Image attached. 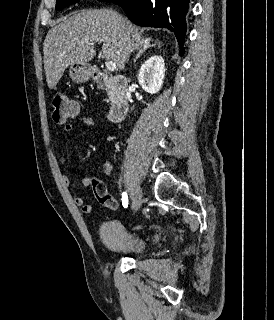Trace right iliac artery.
<instances>
[{"label": "right iliac artery", "instance_id": "1", "mask_svg": "<svg viewBox=\"0 0 274 320\" xmlns=\"http://www.w3.org/2000/svg\"><path fill=\"white\" fill-rule=\"evenodd\" d=\"M128 201H129V199H128L127 193L123 192L122 193V204H123L124 208H126L128 206Z\"/></svg>", "mask_w": 274, "mask_h": 320}]
</instances>
